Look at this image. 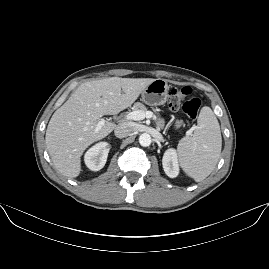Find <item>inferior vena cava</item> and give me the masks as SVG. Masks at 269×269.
<instances>
[{
    "label": "inferior vena cava",
    "instance_id": "inferior-vena-cava-1",
    "mask_svg": "<svg viewBox=\"0 0 269 269\" xmlns=\"http://www.w3.org/2000/svg\"><path fill=\"white\" fill-rule=\"evenodd\" d=\"M136 131V128L131 122L120 123L114 130V135L119 138H126L129 135L133 134Z\"/></svg>",
    "mask_w": 269,
    "mask_h": 269
}]
</instances>
